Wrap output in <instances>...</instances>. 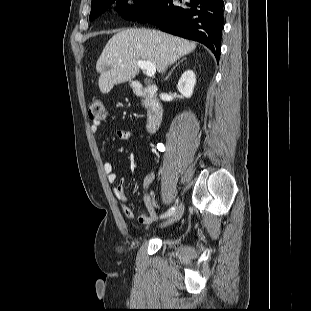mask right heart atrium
<instances>
[{
  "label": "right heart atrium",
  "mask_w": 311,
  "mask_h": 311,
  "mask_svg": "<svg viewBox=\"0 0 311 311\" xmlns=\"http://www.w3.org/2000/svg\"><path fill=\"white\" fill-rule=\"evenodd\" d=\"M122 2H123V5L129 9H134L138 5V0H123Z\"/></svg>",
  "instance_id": "obj_1"
}]
</instances>
